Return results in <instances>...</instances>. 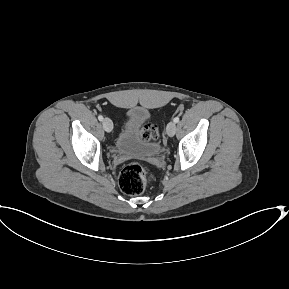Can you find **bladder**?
Listing matches in <instances>:
<instances>
[{"mask_svg": "<svg viewBox=\"0 0 289 289\" xmlns=\"http://www.w3.org/2000/svg\"><path fill=\"white\" fill-rule=\"evenodd\" d=\"M148 117L144 108H132L127 112L124 124L114 141L116 150L139 158L154 157L160 153L158 143L146 140L142 127Z\"/></svg>", "mask_w": 289, "mask_h": 289, "instance_id": "bladder-1", "label": "bladder"}]
</instances>
